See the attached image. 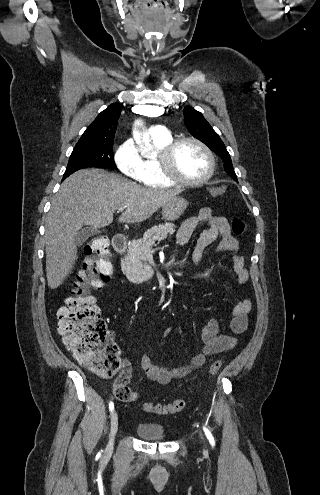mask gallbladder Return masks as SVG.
Returning a JSON list of instances; mask_svg holds the SVG:
<instances>
[{
    "mask_svg": "<svg viewBox=\"0 0 320 495\" xmlns=\"http://www.w3.org/2000/svg\"><path fill=\"white\" fill-rule=\"evenodd\" d=\"M98 232H99L98 229L94 227H83L79 229L75 236L76 245H81L89 237L96 235Z\"/></svg>",
    "mask_w": 320,
    "mask_h": 495,
    "instance_id": "gallbladder-1",
    "label": "gallbladder"
}]
</instances>
